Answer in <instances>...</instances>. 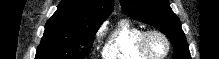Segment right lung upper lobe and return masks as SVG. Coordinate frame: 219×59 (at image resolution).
Wrapping results in <instances>:
<instances>
[{"label":"right lung upper lobe","instance_id":"obj_1","mask_svg":"<svg viewBox=\"0 0 219 59\" xmlns=\"http://www.w3.org/2000/svg\"><path fill=\"white\" fill-rule=\"evenodd\" d=\"M114 6V0H62L48 21L81 22L100 26Z\"/></svg>","mask_w":219,"mask_h":59}]
</instances>
